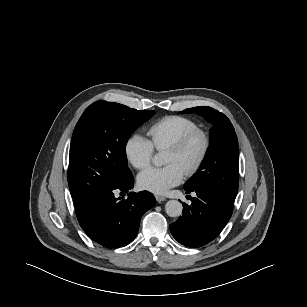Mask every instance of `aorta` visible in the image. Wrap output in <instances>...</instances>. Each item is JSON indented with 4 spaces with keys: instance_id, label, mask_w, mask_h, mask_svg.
Wrapping results in <instances>:
<instances>
[{
    "instance_id": "aorta-1",
    "label": "aorta",
    "mask_w": 307,
    "mask_h": 307,
    "mask_svg": "<svg viewBox=\"0 0 307 307\" xmlns=\"http://www.w3.org/2000/svg\"><path fill=\"white\" fill-rule=\"evenodd\" d=\"M154 164L160 166L163 164V158L160 154L154 156ZM182 204L177 200H169L165 205V212L170 217H179L182 214Z\"/></svg>"
}]
</instances>
